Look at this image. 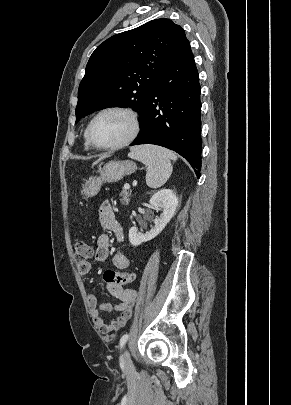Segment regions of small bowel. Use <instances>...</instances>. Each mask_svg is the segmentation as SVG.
<instances>
[{"label": "small bowel", "instance_id": "c3829d8e", "mask_svg": "<svg viewBox=\"0 0 291 405\" xmlns=\"http://www.w3.org/2000/svg\"><path fill=\"white\" fill-rule=\"evenodd\" d=\"M99 221L104 229L110 230L115 233L118 240L123 239V229L118 222L113 208L108 201L102 203L99 209ZM110 253V239L107 234H101L97 239V249L95 253V260L97 262H104ZM113 264L120 270L127 269L130 261L128 257L117 252L112 258ZM91 270V264L85 262L78 264V272L81 275H87ZM108 292L120 301L118 305L109 303L99 304L97 297L94 294L88 295V304L90 307V316L95 327L102 333L108 334L119 330L130 320L132 316L133 306L137 297V292L134 289L124 288L122 285L107 282ZM116 310L120 315L109 323H106L101 316V311Z\"/></svg>", "mask_w": 291, "mask_h": 405}]
</instances>
